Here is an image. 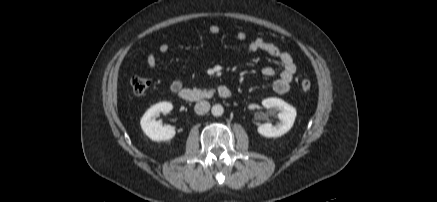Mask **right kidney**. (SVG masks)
Wrapping results in <instances>:
<instances>
[{
  "instance_id": "1",
  "label": "right kidney",
  "mask_w": 437,
  "mask_h": 202,
  "mask_svg": "<svg viewBox=\"0 0 437 202\" xmlns=\"http://www.w3.org/2000/svg\"><path fill=\"white\" fill-rule=\"evenodd\" d=\"M173 109L170 102H160L150 107L141 118L140 125L143 132L153 141H167L172 139L175 134V128L170 125L163 126L156 117L160 113H169Z\"/></svg>"
}]
</instances>
